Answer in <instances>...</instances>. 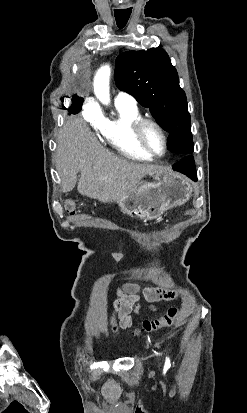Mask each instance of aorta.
I'll return each mask as SVG.
<instances>
[{
	"mask_svg": "<svg viewBox=\"0 0 247 413\" xmlns=\"http://www.w3.org/2000/svg\"><path fill=\"white\" fill-rule=\"evenodd\" d=\"M110 74V66L105 65L98 70L94 78V93L99 101L105 105L110 103Z\"/></svg>",
	"mask_w": 247,
	"mask_h": 413,
	"instance_id": "1",
	"label": "aorta"
}]
</instances>
